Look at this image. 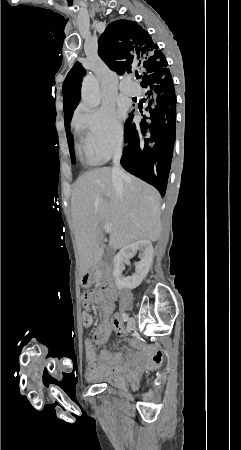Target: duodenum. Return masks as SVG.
Listing matches in <instances>:
<instances>
[{
    "instance_id": "1",
    "label": "duodenum",
    "mask_w": 241,
    "mask_h": 450,
    "mask_svg": "<svg viewBox=\"0 0 241 450\" xmlns=\"http://www.w3.org/2000/svg\"><path fill=\"white\" fill-rule=\"evenodd\" d=\"M82 281L85 286L92 283H98L109 289L115 296L112 275L109 271L98 273L95 270H88L84 273Z\"/></svg>"
}]
</instances>
